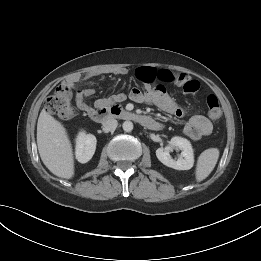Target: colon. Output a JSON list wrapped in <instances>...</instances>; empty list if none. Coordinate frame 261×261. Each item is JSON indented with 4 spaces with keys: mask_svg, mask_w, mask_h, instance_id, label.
I'll use <instances>...</instances> for the list:
<instances>
[{
    "mask_svg": "<svg viewBox=\"0 0 261 261\" xmlns=\"http://www.w3.org/2000/svg\"><path fill=\"white\" fill-rule=\"evenodd\" d=\"M208 116L211 120L216 121L222 115L220 103L215 95L207 97ZM48 112L55 114L63 120H69L74 117L75 110L72 105V90L69 84L59 85L54 94L46 101Z\"/></svg>",
    "mask_w": 261,
    "mask_h": 261,
    "instance_id": "obj_1",
    "label": "colon"
}]
</instances>
